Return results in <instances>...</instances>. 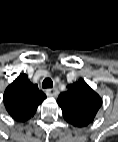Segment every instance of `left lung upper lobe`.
Masks as SVG:
<instances>
[{
    "label": "left lung upper lobe",
    "instance_id": "1",
    "mask_svg": "<svg viewBox=\"0 0 118 142\" xmlns=\"http://www.w3.org/2000/svg\"><path fill=\"white\" fill-rule=\"evenodd\" d=\"M57 103L68 123L84 127L93 122L102 99L83 79H79L59 95Z\"/></svg>",
    "mask_w": 118,
    "mask_h": 142
}]
</instances>
